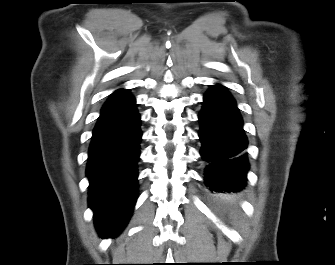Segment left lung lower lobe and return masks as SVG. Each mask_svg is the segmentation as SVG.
I'll list each match as a JSON object with an SVG mask.
<instances>
[{"label": "left lung lower lobe", "instance_id": "obj_1", "mask_svg": "<svg viewBox=\"0 0 335 265\" xmlns=\"http://www.w3.org/2000/svg\"><path fill=\"white\" fill-rule=\"evenodd\" d=\"M199 122L207 187L213 193L241 191L249 167L247 139L236 102L224 86L213 85L204 95Z\"/></svg>", "mask_w": 335, "mask_h": 265}]
</instances>
